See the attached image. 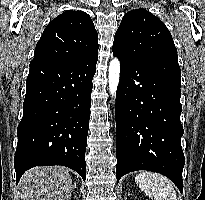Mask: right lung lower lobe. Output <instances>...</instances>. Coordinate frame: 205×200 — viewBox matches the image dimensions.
I'll return each mask as SVG.
<instances>
[{
    "label": "right lung lower lobe",
    "instance_id": "right-lung-lower-lobe-1",
    "mask_svg": "<svg viewBox=\"0 0 205 200\" xmlns=\"http://www.w3.org/2000/svg\"><path fill=\"white\" fill-rule=\"evenodd\" d=\"M97 53L76 61H31L14 157L17 182L35 166L63 165L86 179Z\"/></svg>",
    "mask_w": 205,
    "mask_h": 200
}]
</instances>
